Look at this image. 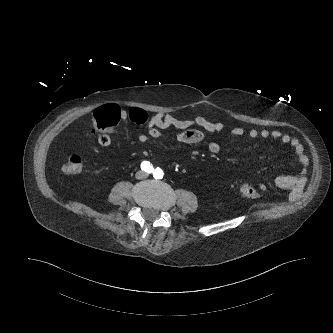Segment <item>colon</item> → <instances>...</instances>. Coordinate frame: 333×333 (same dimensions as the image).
I'll list each match as a JSON object with an SVG mask.
<instances>
[{
	"mask_svg": "<svg viewBox=\"0 0 333 333\" xmlns=\"http://www.w3.org/2000/svg\"><path fill=\"white\" fill-rule=\"evenodd\" d=\"M119 119V107L114 104H107L95 110L91 124L97 132H107L118 123ZM63 169L68 174L81 173L84 169L81 157L77 154H71ZM240 191L243 196L250 199H257L259 197L258 191L249 183L242 184Z\"/></svg>",
	"mask_w": 333,
	"mask_h": 333,
	"instance_id": "colon-1",
	"label": "colon"
}]
</instances>
